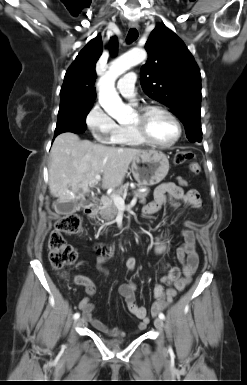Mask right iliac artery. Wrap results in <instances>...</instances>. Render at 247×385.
<instances>
[{
	"label": "right iliac artery",
	"mask_w": 247,
	"mask_h": 385,
	"mask_svg": "<svg viewBox=\"0 0 247 385\" xmlns=\"http://www.w3.org/2000/svg\"><path fill=\"white\" fill-rule=\"evenodd\" d=\"M79 317H80L79 313H75L74 316H73L74 319H78Z\"/></svg>",
	"instance_id": "right-iliac-artery-1"
}]
</instances>
